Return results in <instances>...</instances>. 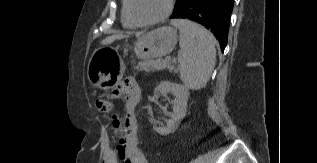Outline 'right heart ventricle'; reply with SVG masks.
<instances>
[{"instance_id":"e07e8e85","label":"right heart ventricle","mask_w":317,"mask_h":163,"mask_svg":"<svg viewBox=\"0 0 317 163\" xmlns=\"http://www.w3.org/2000/svg\"><path fill=\"white\" fill-rule=\"evenodd\" d=\"M127 3V0L122 1L121 22L125 28L132 29L135 28L137 25H135L129 17Z\"/></svg>"}]
</instances>
